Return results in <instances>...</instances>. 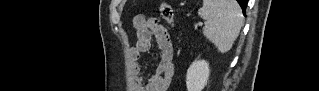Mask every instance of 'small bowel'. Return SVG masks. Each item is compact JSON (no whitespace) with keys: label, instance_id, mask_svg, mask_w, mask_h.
<instances>
[{"label":"small bowel","instance_id":"small-bowel-1","mask_svg":"<svg viewBox=\"0 0 319 91\" xmlns=\"http://www.w3.org/2000/svg\"><path fill=\"white\" fill-rule=\"evenodd\" d=\"M137 41L132 54L137 58L150 51L154 41L159 49V62L147 79L139 74L140 64L133 63V91H167L174 74V48L169 31L155 17L137 16L134 19Z\"/></svg>","mask_w":319,"mask_h":91}]
</instances>
